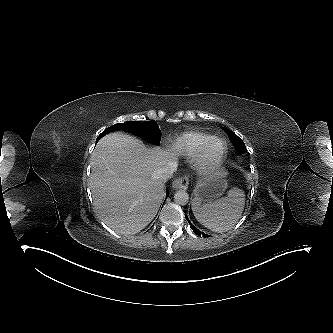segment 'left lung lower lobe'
Returning <instances> with one entry per match:
<instances>
[{
	"label": "left lung lower lobe",
	"instance_id": "0a47b994",
	"mask_svg": "<svg viewBox=\"0 0 333 333\" xmlns=\"http://www.w3.org/2000/svg\"><path fill=\"white\" fill-rule=\"evenodd\" d=\"M185 217H186V219H187V221L189 222V224H190V227L193 229V231L195 232V234H197L198 236H203V237H209L208 235H206V234H204V233H201V231H199L197 228H195L192 224H191V222L189 221V219H188V217H187V215L185 214Z\"/></svg>",
	"mask_w": 333,
	"mask_h": 333
}]
</instances>
